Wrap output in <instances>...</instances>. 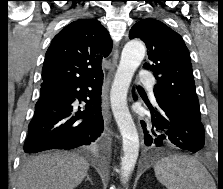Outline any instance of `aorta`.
Wrapping results in <instances>:
<instances>
[{"instance_id":"aorta-1","label":"aorta","mask_w":223,"mask_h":189,"mask_svg":"<svg viewBox=\"0 0 223 189\" xmlns=\"http://www.w3.org/2000/svg\"><path fill=\"white\" fill-rule=\"evenodd\" d=\"M145 53V46L139 40H131L125 44L110 92L112 112L123 140L121 172L124 182L134 170L139 154V136L127 106V93Z\"/></svg>"}]
</instances>
